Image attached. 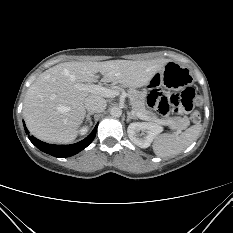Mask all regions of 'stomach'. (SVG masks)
I'll use <instances>...</instances> for the list:
<instances>
[{"label":"stomach","instance_id":"obj_1","mask_svg":"<svg viewBox=\"0 0 233 233\" xmlns=\"http://www.w3.org/2000/svg\"><path fill=\"white\" fill-rule=\"evenodd\" d=\"M192 81L193 75L187 67L169 61L161 71L154 74L151 79L144 84V89L151 90L155 86L161 84L173 90H180L191 85Z\"/></svg>","mask_w":233,"mask_h":233}]
</instances>
